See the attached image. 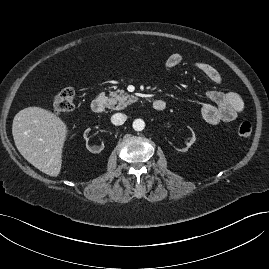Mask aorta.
<instances>
[{
	"label": "aorta",
	"mask_w": 269,
	"mask_h": 269,
	"mask_svg": "<svg viewBox=\"0 0 269 269\" xmlns=\"http://www.w3.org/2000/svg\"><path fill=\"white\" fill-rule=\"evenodd\" d=\"M145 128V122L142 119H135L133 121V129L135 131H142Z\"/></svg>",
	"instance_id": "1"
}]
</instances>
